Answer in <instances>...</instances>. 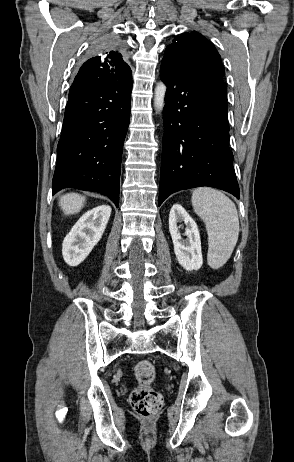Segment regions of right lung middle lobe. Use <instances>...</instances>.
<instances>
[{"label": "right lung middle lobe", "mask_w": 294, "mask_h": 462, "mask_svg": "<svg viewBox=\"0 0 294 462\" xmlns=\"http://www.w3.org/2000/svg\"><path fill=\"white\" fill-rule=\"evenodd\" d=\"M120 46V39L113 34L107 33L100 36L93 42L89 53L94 55L102 50L119 48Z\"/></svg>", "instance_id": "dd1d6c3e"}]
</instances>
